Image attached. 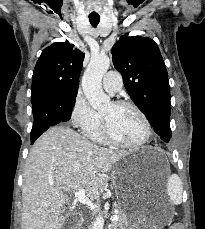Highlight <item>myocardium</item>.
<instances>
[{
  "instance_id": "1",
  "label": "myocardium",
  "mask_w": 205,
  "mask_h": 229,
  "mask_svg": "<svg viewBox=\"0 0 205 229\" xmlns=\"http://www.w3.org/2000/svg\"><path fill=\"white\" fill-rule=\"evenodd\" d=\"M112 103L115 106L132 108L141 118L144 124L145 133H144V136L137 142L125 143V142L119 141L118 139H116L113 136L107 118L103 114H101L102 132H103V136L106 142H108L110 145H113L115 147H120V148H139L143 146L144 144H146L150 140L151 135H152L151 124L146 114L136 104H134L133 102L127 101V100H117V101H113Z\"/></svg>"
}]
</instances>
